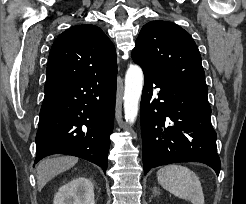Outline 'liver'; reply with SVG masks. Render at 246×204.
<instances>
[{
  "label": "liver",
  "mask_w": 246,
  "mask_h": 204,
  "mask_svg": "<svg viewBox=\"0 0 246 204\" xmlns=\"http://www.w3.org/2000/svg\"><path fill=\"white\" fill-rule=\"evenodd\" d=\"M77 162L78 158L73 156H58L41 161L38 164L36 175L38 191H41L56 175L70 169Z\"/></svg>",
  "instance_id": "1"
}]
</instances>
